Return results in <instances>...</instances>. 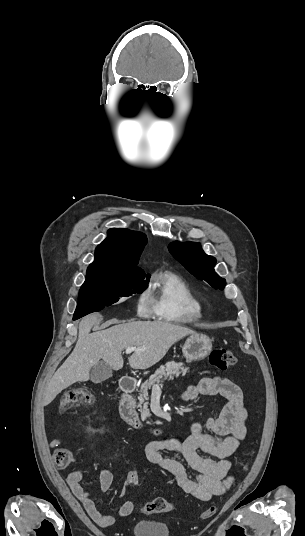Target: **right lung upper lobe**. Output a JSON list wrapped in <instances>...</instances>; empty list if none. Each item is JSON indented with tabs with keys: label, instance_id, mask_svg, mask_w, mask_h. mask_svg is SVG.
<instances>
[{
	"label": "right lung upper lobe",
	"instance_id": "cb5924a9",
	"mask_svg": "<svg viewBox=\"0 0 305 536\" xmlns=\"http://www.w3.org/2000/svg\"><path fill=\"white\" fill-rule=\"evenodd\" d=\"M146 243L147 238L141 232L110 229L107 238L95 250V260L89 265L86 278H145L137 264Z\"/></svg>",
	"mask_w": 305,
	"mask_h": 536
}]
</instances>
